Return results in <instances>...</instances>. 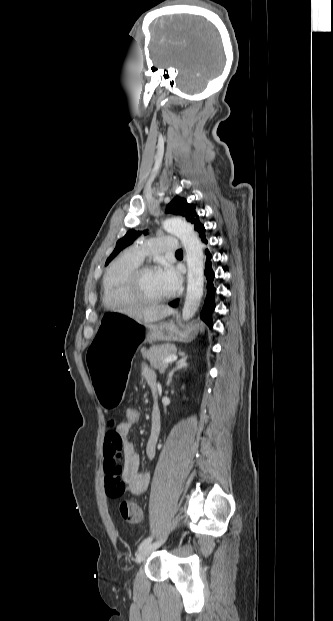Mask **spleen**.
I'll list each match as a JSON object with an SVG mask.
<instances>
[{
	"instance_id": "3e777b00",
	"label": "spleen",
	"mask_w": 333,
	"mask_h": 621,
	"mask_svg": "<svg viewBox=\"0 0 333 621\" xmlns=\"http://www.w3.org/2000/svg\"><path fill=\"white\" fill-rule=\"evenodd\" d=\"M200 330H201V331L203 330V327H202V326L200 327Z\"/></svg>"
}]
</instances>
